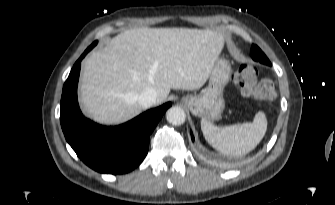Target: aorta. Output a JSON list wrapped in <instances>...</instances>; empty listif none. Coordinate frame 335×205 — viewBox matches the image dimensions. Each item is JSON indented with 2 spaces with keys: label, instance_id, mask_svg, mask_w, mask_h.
<instances>
[{
  "label": "aorta",
  "instance_id": "aorta-1",
  "mask_svg": "<svg viewBox=\"0 0 335 205\" xmlns=\"http://www.w3.org/2000/svg\"><path fill=\"white\" fill-rule=\"evenodd\" d=\"M166 119L172 125H181L185 122L186 114L180 107H171L166 112Z\"/></svg>",
  "mask_w": 335,
  "mask_h": 205
}]
</instances>
